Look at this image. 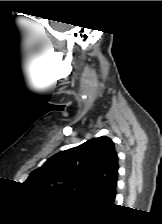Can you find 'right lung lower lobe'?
Returning a JSON list of instances; mask_svg holds the SVG:
<instances>
[{
	"label": "right lung lower lobe",
	"instance_id": "98d812e1",
	"mask_svg": "<svg viewBox=\"0 0 162 224\" xmlns=\"http://www.w3.org/2000/svg\"><path fill=\"white\" fill-rule=\"evenodd\" d=\"M115 198V197H114ZM114 198L111 200V202H113L114 201Z\"/></svg>",
	"mask_w": 162,
	"mask_h": 224
}]
</instances>
